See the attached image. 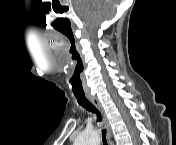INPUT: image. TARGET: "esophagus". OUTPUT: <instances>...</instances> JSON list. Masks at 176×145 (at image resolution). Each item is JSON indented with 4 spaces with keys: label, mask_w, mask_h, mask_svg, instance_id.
<instances>
[{
    "label": "esophagus",
    "mask_w": 176,
    "mask_h": 145,
    "mask_svg": "<svg viewBox=\"0 0 176 145\" xmlns=\"http://www.w3.org/2000/svg\"><path fill=\"white\" fill-rule=\"evenodd\" d=\"M87 98L89 99V101L98 109V111L101 114L102 120H103V124L107 130V136H108V140L110 145L112 144V140H111V127H110V123L108 121L107 115L101 105V103L93 96L88 95Z\"/></svg>",
    "instance_id": "34e87169"
}]
</instances>
